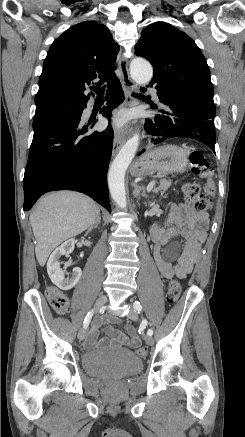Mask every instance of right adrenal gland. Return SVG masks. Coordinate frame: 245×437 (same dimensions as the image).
Listing matches in <instances>:
<instances>
[{
  "instance_id": "right-adrenal-gland-1",
  "label": "right adrenal gland",
  "mask_w": 245,
  "mask_h": 437,
  "mask_svg": "<svg viewBox=\"0 0 245 437\" xmlns=\"http://www.w3.org/2000/svg\"><path fill=\"white\" fill-rule=\"evenodd\" d=\"M100 222H101V216L99 214L96 222L88 229V232H90L94 228H97V226L100 224Z\"/></svg>"
}]
</instances>
